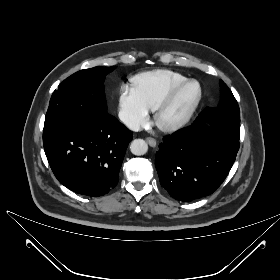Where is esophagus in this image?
Segmentation results:
<instances>
[{
  "mask_svg": "<svg viewBox=\"0 0 280 280\" xmlns=\"http://www.w3.org/2000/svg\"><path fill=\"white\" fill-rule=\"evenodd\" d=\"M147 143L151 146V147H155L156 146V140L152 137H147L146 138Z\"/></svg>",
  "mask_w": 280,
  "mask_h": 280,
  "instance_id": "1",
  "label": "esophagus"
}]
</instances>
